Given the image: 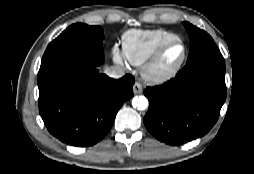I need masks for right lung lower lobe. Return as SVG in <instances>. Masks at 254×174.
<instances>
[{"instance_id":"obj_1","label":"right lung lower lobe","mask_w":254,"mask_h":174,"mask_svg":"<svg viewBox=\"0 0 254 174\" xmlns=\"http://www.w3.org/2000/svg\"><path fill=\"white\" fill-rule=\"evenodd\" d=\"M96 67H66L38 81L41 118L48 131L66 144L98 143L111 129L119 108L133 96L132 75L115 80Z\"/></svg>"}]
</instances>
